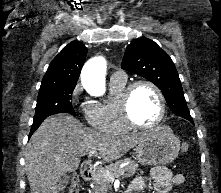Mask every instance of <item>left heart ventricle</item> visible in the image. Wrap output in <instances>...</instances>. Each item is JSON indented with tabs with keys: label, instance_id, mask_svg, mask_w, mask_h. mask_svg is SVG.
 Segmentation results:
<instances>
[{
	"label": "left heart ventricle",
	"instance_id": "left-heart-ventricle-1",
	"mask_svg": "<svg viewBox=\"0 0 221 193\" xmlns=\"http://www.w3.org/2000/svg\"><path fill=\"white\" fill-rule=\"evenodd\" d=\"M133 118L140 124H150L156 120L160 104L156 93L148 86L135 88L130 103Z\"/></svg>",
	"mask_w": 221,
	"mask_h": 193
}]
</instances>
